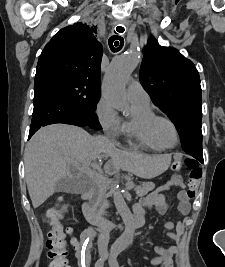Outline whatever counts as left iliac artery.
<instances>
[{
  "label": "left iliac artery",
  "instance_id": "1",
  "mask_svg": "<svg viewBox=\"0 0 225 267\" xmlns=\"http://www.w3.org/2000/svg\"><path fill=\"white\" fill-rule=\"evenodd\" d=\"M119 252L118 251H114L111 253L110 255V267H119L118 261H117V256H118Z\"/></svg>",
  "mask_w": 225,
  "mask_h": 267
}]
</instances>
